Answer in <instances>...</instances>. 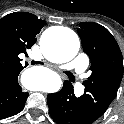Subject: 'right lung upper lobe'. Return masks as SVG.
Segmentation results:
<instances>
[{
	"instance_id": "obj_1",
	"label": "right lung upper lobe",
	"mask_w": 124,
	"mask_h": 124,
	"mask_svg": "<svg viewBox=\"0 0 124 124\" xmlns=\"http://www.w3.org/2000/svg\"><path fill=\"white\" fill-rule=\"evenodd\" d=\"M45 24L44 20L28 12L10 13L0 19V80L18 77L24 68L19 54H27Z\"/></svg>"
}]
</instances>
